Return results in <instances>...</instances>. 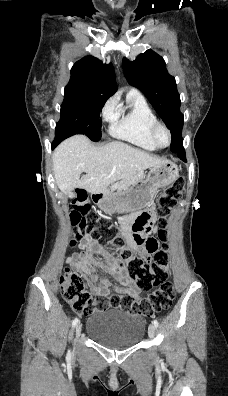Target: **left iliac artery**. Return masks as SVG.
Masks as SVG:
<instances>
[{"instance_id": "obj_1", "label": "left iliac artery", "mask_w": 228, "mask_h": 396, "mask_svg": "<svg viewBox=\"0 0 228 396\" xmlns=\"http://www.w3.org/2000/svg\"><path fill=\"white\" fill-rule=\"evenodd\" d=\"M153 324H154L155 327L159 326V323H158V321L156 319L153 320Z\"/></svg>"}]
</instances>
